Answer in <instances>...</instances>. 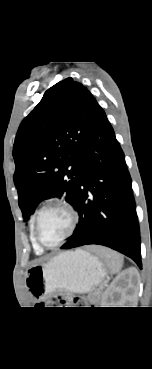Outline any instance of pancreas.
<instances>
[{"label":"pancreas","mask_w":152,"mask_h":369,"mask_svg":"<svg viewBox=\"0 0 152 369\" xmlns=\"http://www.w3.org/2000/svg\"><path fill=\"white\" fill-rule=\"evenodd\" d=\"M101 298V293L98 291V292H95L94 294L91 295V299H90V302L91 303H97L99 302Z\"/></svg>","instance_id":"obj_1"}]
</instances>
